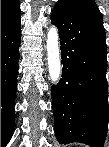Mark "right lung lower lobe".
Masks as SVG:
<instances>
[{"label": "right lung lower lobe", "mask_w": 109, "mask_h": 147, "mask_svg": "<svg viewBox=\"0 0 109 147\" xmlns=\"http://www.w3.org/2000/svg\"><path fill=\"white\" fill-rule=\"evenodd\" d=\"M20 17V16H19ZM1 27V146L14 132V102L20 45V19Z\"/></svg>", "instance_id": "1"}]
</instances>
